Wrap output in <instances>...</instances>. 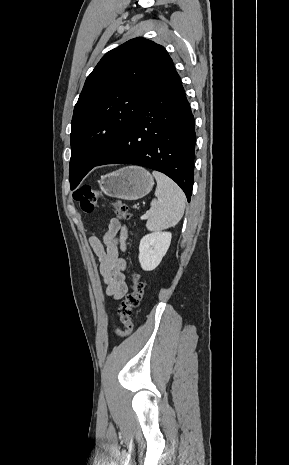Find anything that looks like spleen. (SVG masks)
Instances as JSON below:
<instances>
[{"instance_id":"1","label":"spleen","mask_w":289,"mask_h":465,"mask_svg":"<svg viewBox=\"0 0 289 465\" xmlns=\"http://www.w3.org/2000/svg\"><path fill=\"white\" fill-rule=\"evenodd\" d=\"M157 181L155 196L147 212L146 227L150 231H160L174 227L182 218L186 197L182 189L163 173L154 171Z\"/></svg>"}]
</instances>
